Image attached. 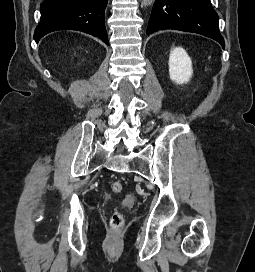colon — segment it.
<instances>
[{
	"label": "colon",
	"instance_id": "colon-1",
	"mask_svg": "<svg viewBox=\"0 0 255 272\" xmlns=\"http://www.w3.org/2000/svg\"><path fill=\"white\" fill-rule=\"evenodd\" d=\"M122 189H123V184L120 181H116L112 184V191L114 193H119L121 192ZM109 224L113 229H119L123 227L124 225L123 215L120 212L115 211L110 217Z\"/></svg>",
	"mask_w": 255,
	"mask_h": 272
}]
</instances>
